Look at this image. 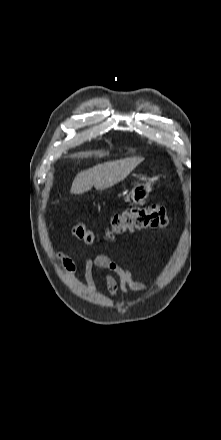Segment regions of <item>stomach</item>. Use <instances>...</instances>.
I'll return each mask as SVG.
<instances>
[{
  "label": "stomach",
  "instance_id": "1",
  "mask_svg": "<svg viewBox=\"0 0 221 440\" xmlns=\"http://www.w3.org/2000/svg\"><path fill=\"white\" fill-rule=\"evenodd\" d=\"M154 181L138 182L127 194V201L130 204H144L149 192L152 190V184Z\"/></svg>",
  "mask_w": 221,
  "mask_h": 440
}]
</instances>
